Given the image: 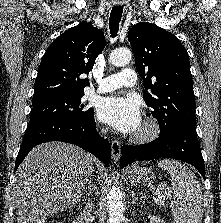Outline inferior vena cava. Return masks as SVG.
I'll use <instances>...</instances> for the list:
<instances>
[{
  "label": "inferior vena cava",
  "instance_id": "obj_1",
  "mask_svg": "<svg viewBox=\"0 0 221 223\" xmlns=\"http://www.w3.org/2000/svg\"><path fill=\"white\" fill-rule=\"evenodd\" d=\"M107 133V129H102L101 130V134L102 135H105ZM89 183V190H90V194H91V190H92V185H91V181L88 182ZM95 189V187H93ZM93 209V204L92 202H90L88 200V203H86V207H85V210H84V220H85V223H88L89 221V218H91V211Z\"/></svg>",
  "mask_w": 221,
  "mask_h": 223
}]
</instances>
